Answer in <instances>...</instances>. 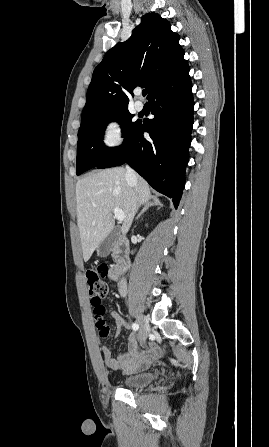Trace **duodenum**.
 <instances>
[{"mask_svg":"<svg viewBox=\"0 0 269 447\" xmlns=\"http://www.w3.org/2000/svg\"><path fill=\"white\" fill-rule=\"evenodd\" d=\"M130 266L129 243L125 238H119L115 246V263L109 269V277L112 281H119L128 271Z\"/></svg>","mask_w":269,"mask_h":447,"instance_id":"1","label":"duodenum"}]
</instances>
